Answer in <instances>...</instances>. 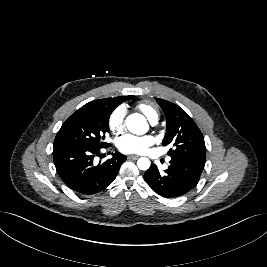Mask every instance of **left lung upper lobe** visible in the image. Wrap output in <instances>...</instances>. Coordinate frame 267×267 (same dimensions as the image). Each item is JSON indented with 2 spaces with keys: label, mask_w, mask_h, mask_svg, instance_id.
Returning a JSON list of instances; mask_svg holds the SVG:
<instances>
[{
  "label": "left lung upper lobe",
  "mask_w": 267,
  "mask_h": 267,
  "mask_svg": "<svg viewBox=\"0 0 267 267\" xmlns=\"http://www.w3.org/2000/svg\"><path fill=\"white\" fill-rule=\"evenodd\" d=\"M163 109L166 119V134L162 144H173L168 155L205 165L206 147L203 135L192 118L178 105L156 99Z\"/></svg>",
  "instance_id": "left-lung-upper-lobe-1"
}]
</instances>
